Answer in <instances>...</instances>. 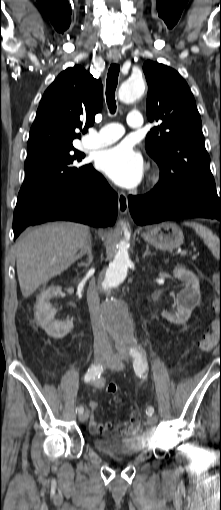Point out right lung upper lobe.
I'll return each mask as SVG.
<instances>
[{
    "instance_id": "right-lung-upper-lobe-1",
    "label": "right lung upper lobe",
    "mask_w": 221,
    "mask_h": 510,
    "mask_svg": "<svg viewBox=\"0 0 221 510\" xmlns=\"http://www.w3.org/2000/svg\"><path fill=\"white\" fill-rule=\"evenodd\" d=\"M103 103L102 83L81 66L66 69L45 91L30 129L28 153L42 148H67L76 129L86 132Z\"/></svg>"
}]
</instances>
